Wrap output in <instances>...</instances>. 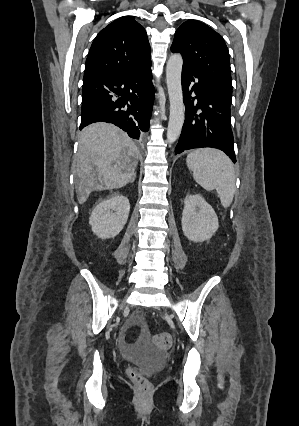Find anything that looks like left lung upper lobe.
Listing matches in <instances>:
<instances>
[{
  "instance_id": "5c2ea615",
  "label": "left lung upper lobe",
  "mask_w": 299,
  "mask_h": 426,
  "mask_svg": "<svg viewBox=\"0 0 299 426\" xmlns=\"http://www.w3.org/2000/svg\"><path fill=\"white\" fill-rule=\"evenodd\" d=\"M171 50L182 54L183 65L232 97L229 52L220 34L190 19L177 29Z\"/></svg>"
}]
</instances>
